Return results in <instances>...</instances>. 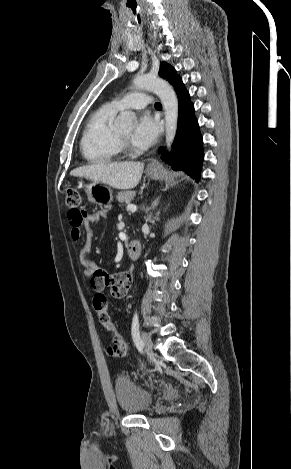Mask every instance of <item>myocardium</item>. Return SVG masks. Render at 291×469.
I'll list each match as a JSON object with an SVG mask.
<instances>
[{
	"instance_id": "1",
	"label": "myocardium",
	"mask_w": 291,
	"mask_h": 469,
	"mask_svg": "<svg viewBox=\"0 0 291 469\" xmlns=\"http://www.w3.org/2000/svg\"><path fill=\"white\" fill-rule=\"evenodd\" d=\"M117 137L120 143L121 148H127L128 147V139L127 137H124L121 135L119 132H117Z\"/></svg>"
}]
</instances>
